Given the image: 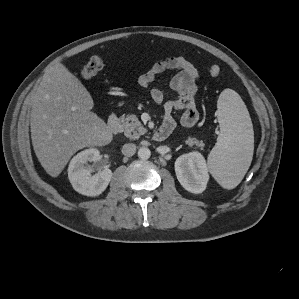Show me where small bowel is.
I'll list each match as a JSON object with an SVG mask.
<instances>
[{"label":"small bowel","mask_w":299,"mask_h":299,"mask_svg":"<svg viewBox=\"0 0 299 299\" xmlns=\"http://www.w3.org/2000/svg\"><path fill=\"white\" fill-rule=\"evenodd\" d=\"M169 70L176 71L170 82V87L176 93L177 97L175 99H168L160 89H153L151 91L153 101L163 105L165 111L162 126H165L172 132L176 126L173 112L180 110L182 111V125L186 128H192L197 124L199 119L195 101L198 94L197 81L200 74L188 59L181 55H172L158 61L139 75L138 84L140 87L146 89L159 74Z\"/></svg>","instance_id":"obj_1"}]
</instances>
